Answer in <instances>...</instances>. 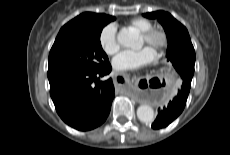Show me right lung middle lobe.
Masks as SVG:
<instances>
[{
    "label": "right lung middle lobe",
    "instance_id": "1",
    "mask_svg": "<svg viewBox=\"0 0 230 155\" xmlns=\"http://www.w3.org/2000/svg\"><path fill=\"white\" fill-rule=\"evenodd\" d=\"M115 17L103 18L84 30L59 32L49 54L48 73L59 70L99 69L109 64L100 43L105 25Z\"/></svg>",
    "mask_w": 230,
    "mask_h": 155
}]
</instances>
